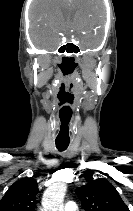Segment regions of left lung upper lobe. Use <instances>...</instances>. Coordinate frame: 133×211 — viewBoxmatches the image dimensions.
<instances>
[{"mask_svg": "<svg viewBox=\"0 0 133 211\" xmlns=\"http://www.w3.org/2000/svg\"><path fill=\"white\" fill-rule=\"evenodd\" d=\"M85 211H129L113 185L96 179L76 189Z\"/></svg>", "mask_w": 133, "mask_h": 211, "instance_id": "1", "label": "left lung upper lobe"}]
</instances>
